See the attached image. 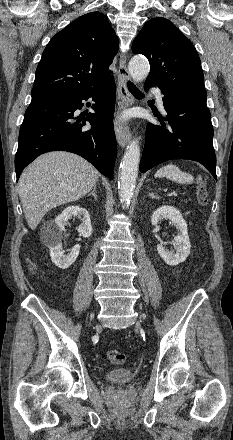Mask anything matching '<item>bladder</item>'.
<instances>
[{
  "label": "bladder",
  "mask_w": 233,
  "mask_h": 440,
  "mask_svg": "<svg viewBox=\"0 0 233 440\" xmlns=\"http://www.w3.org/2000/svg\"><path fill=\"white\" fill-rule=\"evenodd\" d=\"M134 371L129 368H114L106 372V379L116 385H123L134 378Z\"/></svg>",
  "instance_id": "bladder-1"
}]
</instances>
